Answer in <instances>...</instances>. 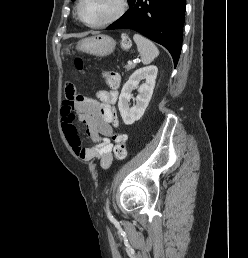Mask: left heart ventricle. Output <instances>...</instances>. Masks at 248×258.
I'll list each match as a JSON object with an SVG mask.
<instances>
[{"label":"left heart ventricle","instance_id":"left-heart-ventricle-1","mask_svg":"<svg viewBox=\"0 0 248 258\" xmlns=\"http://www.w3.org/2000/svg\"><path fill=\"white\" fill-rule=\"evenodd\" d=\"M118 7V0H84L82 14L90 23H97L111 16Z\"/></svg>","mask_w":248,"mask_h":258}]
</instances>
